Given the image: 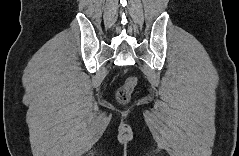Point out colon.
Masks as SVG:
<instances>
[{
  "instance_id": "colon-1",
  "label": "colon",
  "mask_w": 239,
  "mask_h": 156,
  "mask_svg": "<svg viewBox=\"0 0 239 156\" xmlns=\"http://www.w3.org/2000/svg\"><path fill=\"white\" fill-rule=\"evenodd\" d=\"M136 85L135 77H128L124 84L119 88L117 92V99L121 103H125L128 101L131 92L133 91Z\"/></svg>"
}]
</instances>
